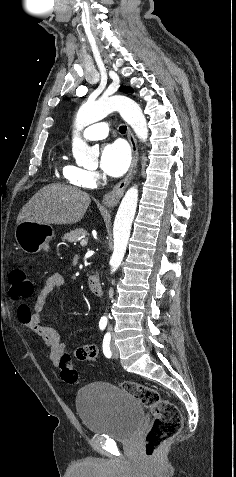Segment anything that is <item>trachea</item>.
I'll list each match as a JSON object with an SVG mask.
<instances>
[{"instance_id": "1", "label": "trachea", "mask_w": 236, "mask_h": 477, "mask_svg": "<svg viewBox=\"0 0 236 477\" xmlns=\"http://www.w3.org/2000/svg\"><path fill=\"white\" fill-rule=\"evenodd\" d=\"M127 127L125 125L119 127L120 133H126Z\"/></svg>"}]
</instances>
